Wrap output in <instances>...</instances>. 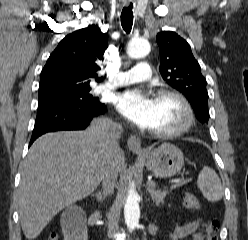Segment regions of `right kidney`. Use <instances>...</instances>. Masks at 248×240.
<instances>
[{
    "mask_svg": "<svg viewBox=\"0 0 248 240\" xmlns=\"http://www.w3.org/2000/svg\"><path fill=\"white\" fill-rule=\"evenodd\" d=\"M64 240H88L87 227L84 223L78 226H62Z\"/></svg>",
    "mask_w": 248,
    "mask_h": 240,
    "instance_id": "1",
    "label": "right kidney"
}]
</instances>
